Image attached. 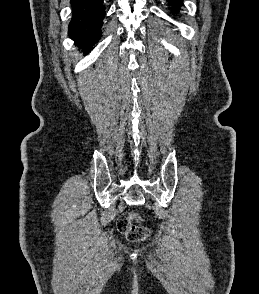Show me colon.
Masks as SVG:
<instances>
[{
    "label": "colon",
    "mask_w": 259,
    "mask_h": 294,
    "mask_svg": "<svg viewBox=\"0 0 259 294\" xmlns=\"http://www.w3.org/2000/svg\"><path fill=\"white\" fill-rule=\"evenodd\" d=\"M117 227L128 240L133 242L142 241L149 236V230L142 225L141 217L134 212L122 215L118 220Z\"/></svg>",
    "instance_id": "obj_1"
}]
</instances>
